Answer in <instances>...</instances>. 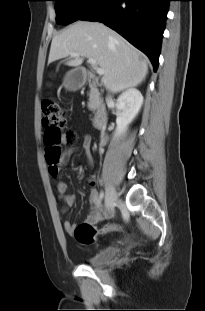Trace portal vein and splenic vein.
<instances>
[{
    "label": "portal vein and splenic vein",
    "mask_w": 205,
    "mask_h": 311,
    "mask_svg": "<svg viewBox=\"0 0 205 311\" xmlns=\"http://www.w3.org/2000/svg\"><path fill=\"white\" fill-rule=\"evenodd\" d=\"M71 56L72 57H78L79 54L78 53H71ZM88 62L91 64V66L96 70V72L99 74V75H104V70L102 68H99L97 66V62L95 59L93 58H89L88 59Z\"/></svg>",
    "instance_id": "obj_1"
}]
</instances>
